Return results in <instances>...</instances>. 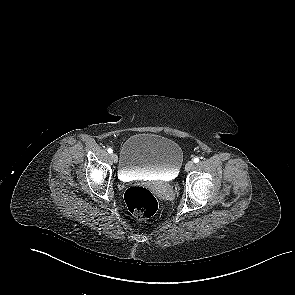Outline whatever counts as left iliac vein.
I'll list each match as a JSON object with an SVG mask.
<instances>
[{"mask_svg": "<svg viewBox=\"0 0 295 295\" xmlns=\"http://www.w3.org/2000/svg\"><path fill=\"white\" fill-rule=\"evenodd\" d=\"M193 167H194V162L193 161H189L185 165V170L186 171H190Z\"/></svg>", "mask_w": 295, "mask_h": 295, "instance_id": "1", "label": "left iliac vein"}]
</instances>
